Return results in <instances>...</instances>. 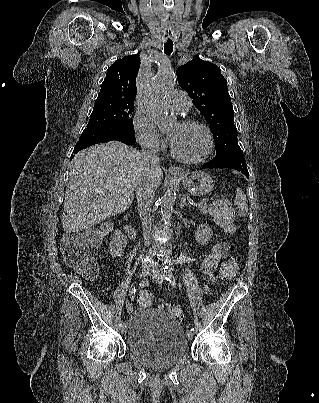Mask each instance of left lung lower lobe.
Wrapping results in <instances>:
<instances>
[{"label":"left lung lower lobe","instance_id":"obj_1","mask_svg":"<svg viewBox=\"0 0 319 403\" xmlns=\"http://www.w3.org/2000/svg\"><path fill=\"white\" fill-rule=\"evenodd\" d=\"M202 168H231L241 171V173L249 178L246 161L242 151L231 150L224 155L216 156L209 163L204 164Z\"/></svg>","mask_w":319,"mask_h":403}]
</instances>
